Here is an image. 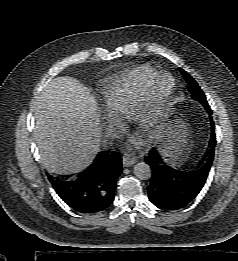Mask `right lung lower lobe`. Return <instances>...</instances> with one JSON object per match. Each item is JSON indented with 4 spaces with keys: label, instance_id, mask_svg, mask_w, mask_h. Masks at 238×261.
<instances>
[{
    "label": "right lung lower lobe",
    "instance_id": "right-lung-lower-lobe-1",
    "mask_svg": "<svg viewBox=\"0 0 238 261\" xmlns=\"http://www.w3.org/2000/svg\"><path fill=\"white\" fill-rule=\"evenodd\" d=\"M122 172L119 153H99L82 175L53 178L49 176L56 193L79 213H97L106 210L114 201L116 181Z\"/></svg>",
    "mask_w": 238,
    "mask_h": 261
}]
</instances>
